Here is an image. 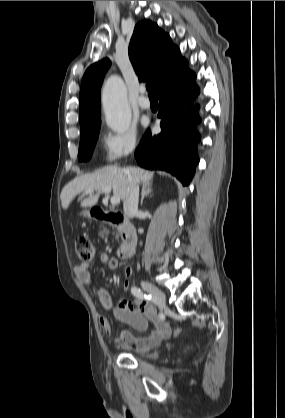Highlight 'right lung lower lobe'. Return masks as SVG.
<instances>
[{
    "instance_id": "obj_1",
    "label": "right lung lower lobe",
    "mask_w": 285,
    "mask_h": 418,
    "mask_svg": "<svg viewBox=\"0 0 285 418\" xmlns=\"http://www.w3.org/2000/svg\"><path fill=\"white\" fill-rule=\"evenodd\" d=\"M195 74L187 71L168 85L159 95L161 133L155 136L148 130L135 151L141 167L150 170H166L188 185L199 163L196 144L200 134L196 125L201 122L198 107L183 109L199 94Z\"/></svg>"
}]
</instances>
